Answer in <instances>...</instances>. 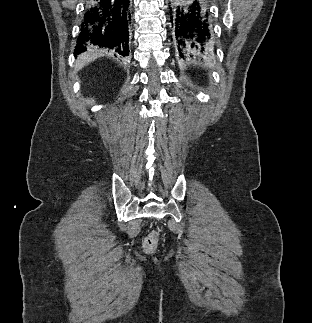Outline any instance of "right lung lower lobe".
<instances>
[{
  "mask_svg": "<svg viewBox=\"0 0 312 323\" xmlns=\"http://www.w3.org/2000/svg\"><path fill=\"white\" fill-rule=\"evenodd\" d=\"M129 3V0H88L74 54L93 45L108 48L115 56H128L132 26Z\"/></svg>",
  "mask_w": 312,
  "mask_h": 323,
  "instance_id": "right-lung-lower-lobe-1",
  "label": "right lung lower lobe"
}]
</instances>
